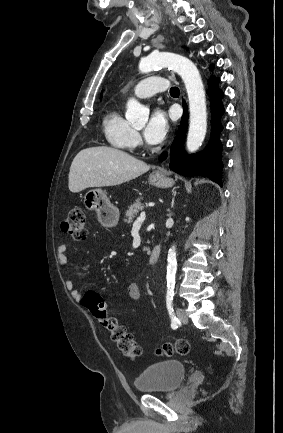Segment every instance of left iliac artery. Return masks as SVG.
<instances>
[{"label": "left iliac artery", "mask_w": 283, "mask_h": 433, "mask_svg": "<svg viewBox=\"0 0 283 433\" xmlns=\"http://www.w3.org/2000/svg\"><path fill=\"white\" fill-rule=\"evenodd\" d=\"M173 296H174V287H168L167 295H166V305L171 318V327L175 328V324L179 322L178 318L174 315L173 310Z\"/></svg>", "instance_id": "44dca946"}]
</instances>
